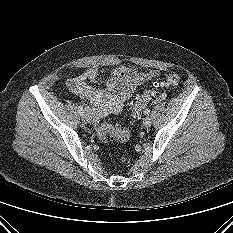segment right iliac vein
<instances>
[{
  "label": "right iliac vein",
  "mask_w": 233,
  "mask_h": 233,
  "mask_svg": "<svg viewBox=\"0 0 233 233\" xmlns=\"http://www.w3.org/2000/svg\"><path fill=\"white\" fill-rule=\"evenodd\" d=\"M82 119H83V121H84L85 123H89L90 120H91V117H90L89 114H85V115L82 116Z\"/></svg>",
  "instance_id": "1"
}]
</instances>
